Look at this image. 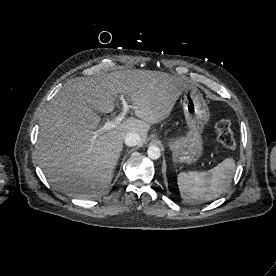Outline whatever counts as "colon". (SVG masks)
<instances>
[{
  "instance_id": "obj_1",
  "label": "colon",
  "mask_w": 276,
  "mask_h": 276,
  "mask_svg": "<svg viewBox=\"0 0 276 276\" xmlns=\"http://www.w3.org/2000/svg\"><path fill=\"white\" fill-rule=\"evenodd\" d=\"M217 137L220 144L227 149L236 147L235 138L231 130V122L228 119H222L216 124Z\"/></svg>"
}]
</instances>
